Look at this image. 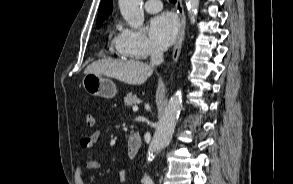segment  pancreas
I'll list each match as a JSON object with an SVG mask.
<instances>
[{"label": "pancreas", "instance_id": "1", "mask_svg": "<svg viewBox=\"0 0 293 184\" xmlns=\"http://www.w3.org/2000/svg\"><path fill=\"white\" fill-rule=\"evenodd\" d=\"M139 102V99L136 95L132 93H128L127 96L124 98V103L126 106H132Z\"/></svg>", "mask_w": 293, "mask_h": 184}]
</instances>
